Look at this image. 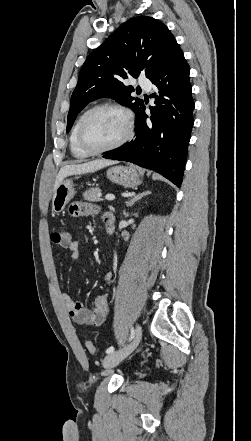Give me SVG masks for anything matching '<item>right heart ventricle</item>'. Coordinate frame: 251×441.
Masks as SVG:
<instances>
[{
	"instance_id": "right-heart-ventricle-1",
	"label": "right heart ventricle",
	"mask_w": 251,
	"mask_h": 441,
	"mask_svg": "<svg viewBox=\"0 0 251 441\" xmlns=\"http://www.w3.org/2000/svg\"><path fill=\"white\" fill-rule=\"evenodd\" d=\"M81 116L76 120L70 136H69V143H70V149H71V153L72 155L77 158V159H86L88 158L90 155L88 153H86L85 151H83L77 142V129H78V124L80 121Z\"/></svg>"
}]
</instances>
